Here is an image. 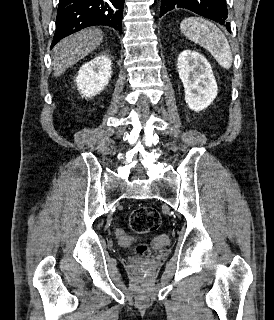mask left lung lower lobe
Masks as SVG:
<instances>
[{"label": "left lung lower lobe", "instance_id": "1", "mask_svg": "<svg viewBox=\"0 0 274 320\" xmlns=\"http://www.w3.org/2000/svg\"><path fill=\"white\" fill-rule=\"evenodd\" d=\"M175 8H185L219 22L230 30L226 0H161L160 16Z\"/></svg>", "mask_w": 274, "mask_h": 320}]
</instances>
